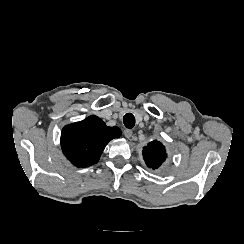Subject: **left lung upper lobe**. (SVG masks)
I'll use <instances>...</instances> for the list:
<instances>
[{
    "label": "left lung upper lobe",
    "instance_id": "obj_1",
    "mask_svg": "<svg viewBox=\"0 0 244 244\" xmlns=\"http://www.w3.org/2000/svg\"><path fill=\"white\" fill-rule=\"evenodd\" d=\"M143 158L149 168H159L167 158L165 147L157 140L151 141L143 147Z\"/></svg>",
    "mask_w": 244,
    "mask_h": 244
}]
</instances>
